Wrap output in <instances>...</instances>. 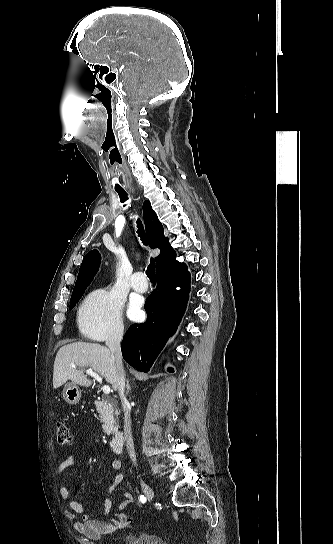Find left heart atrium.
Returning a JSON list of instances; mask_svg holds the SVG:
<instances>
[{
	"label": "left heart atrium",
	"mask_w": 333,
	"mask_h": 544,
	"mask_svg": "<svg viewBox=\"0 0 333 544\" xmlns=\"http://www.w3.org/2000/svg\"><path fill=\"white\" fill-rule=\"evenodd\" d=\"M129 315L132 319L138 320L142 317L143 311H142V300L141 299H134L129 307Z\"/></svg>",
	"instance_id": "39dd6f15"
}]
</instances>
